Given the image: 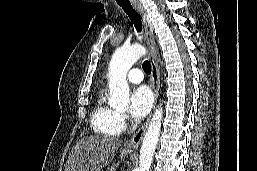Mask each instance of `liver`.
<instances>
[{
  "instance_id": "obj_1",
  "label": "liver",
  "mask_w": 257,
  "mask_h": 171,
  "mask_svg": "<svg viewBox=\"0 0 257 171\" xmlns=\"http://www.w3.org/2000/svg\"><path fill=\"white\" fill-rule=\"evenodd\" d=\"M122 141L107 136H87L76 142L65 171H103L114 158Z\"/></svg>"
}]
</instances>
